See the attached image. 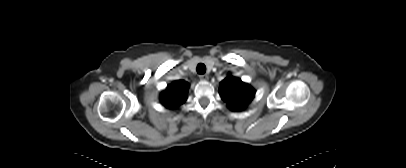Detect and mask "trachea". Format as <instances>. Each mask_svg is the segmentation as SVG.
Instances as JSON below:
<instances>
[{
  "label": "trachea",
  "mask_w": 406,
  "mask_h": 168,
  "mask_svg": "<svg viewBox=\"0 0 406 168\" xmlns=\"http://www.w3.org/2000/svg\"><path fill=\"white\" fill-rule=\"evenodd\" d=\"M197 72L199 74H204L206 72V66L203 63L197 65Z\"/></svg>",
  "instance_id": "3493384b"
}]
</instances>
